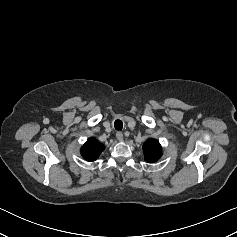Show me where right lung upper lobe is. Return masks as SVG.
<instances>
[{
  "mask_svg": "<svg viewBox=\"0 0 237 237\" xmlns=\"http://www.w3.org/2000/svg\"><path fill=\"white\" fill-rule=\"evenodd\" d=\"M105 149V146L98 142L95 138H89L81 148V154L83 158L89 162L95 161L101 152Z\"/></svg>",
  "mask_w": 237,
  "mask_h": 237,
  "instance_id": "obj_1",
  "label": "right lung upper lobe"
}]
</instances>
